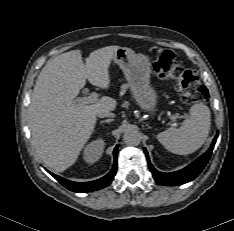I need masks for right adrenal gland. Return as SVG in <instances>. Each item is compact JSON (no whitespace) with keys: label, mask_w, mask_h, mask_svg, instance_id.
Returning <instances> with one entry per match:
<instances>
[{"label":"right adrenal gland","mask_w":234,"mask_h":231,"mask_svg":"<svg viewBox=\"0 0 234 231\" xmlns=\"http://www.w3.org/2000/svg\"><path fill=\"white\" fill-rule=\"evenodd\" d=\"M111 121H113V119H105V120H102L100 123L103 124V123H110Z\"/></svg>","instance_id":"obj_1"}]
</instances>
